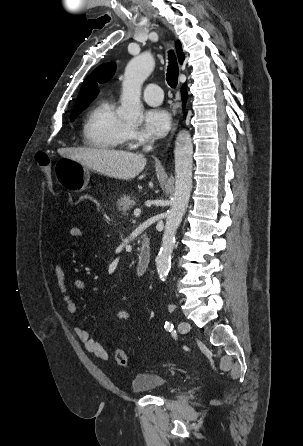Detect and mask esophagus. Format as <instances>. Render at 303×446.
Segmentation results:
<instances>
[{
	"label": "esophagus",
	"instance_id": "1",
	"mask_svg": "<svg viewBox=\"0 0 303 446\" xmlns=\"http://www.w3.org/2000/svg\"><path fill=\"white\" fill-rule=\"evenodd\" d=\"M177 123H178V120L175 121L174 124H173V126H172V129H171V132H170V135H169V138H168V144H167V145H169V142H170V140L172 139V137H173V135H174V133H175V131H176Z\"/></svg>",
	"mask_w": 303,
	"mask_h": 446
}]
</instances>
